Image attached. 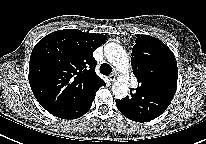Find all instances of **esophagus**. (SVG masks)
I'll return each mask as SVG.
<instances>
[{"instance_id":"34e87169","label":"esophagus","mask_w":206,"mask_h":144,"mask_svg":"<svg viewBox=\"0 0 206 144\" xmlns=\"http://www.w3.org/2000/svg\"><path fill=\"white\" fill-rule=\"evenodd\" d=\"M109 80L111 82H114L116 80V74L115 73H112L110 76H109Z\"/></svg>"}]
</instances>
